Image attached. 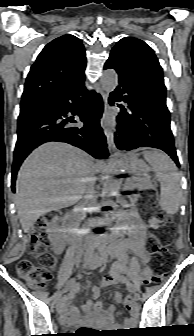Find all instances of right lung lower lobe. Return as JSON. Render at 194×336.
Segmentation results:
<instances>
[{
    "label": "right lung lower lobe",
    "instance_id": "98d812e1",
    "mask_svg": "<svg viewBox=\"0 0 194 336\" xmlns=\"http://www.w3.org/2000/svg\"><path fill=\"white\" fill-rule=\"evenodd\" d=\"M71 112L84 123L67 117ZM103 102L99 94L88 91L84 78L64 91L21 106L17 126V142L12 166V190L15 192L16 174L29 153L49 141H60L77 146L97 159L109 156L106 137L99 119Z\"/></svg>",
    "mask_w": 194,
    "mask_h": 336
}]
</instances>
